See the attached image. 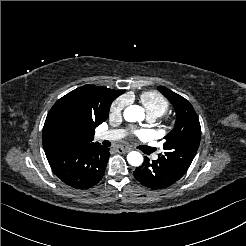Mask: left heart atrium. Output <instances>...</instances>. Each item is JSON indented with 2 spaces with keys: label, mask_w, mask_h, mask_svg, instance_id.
<instances>
[{
  "label": "left heart atrium",
  "mask_w": 246,
  "mask_h": 246,
  "mask_svg": "<svg viewBox=\"0 0 246 246\" xmlns=\"http://www.w3.org/2000/svg\"><path fill=\"white\" fill-rule=\"evenodd\" d=\"M134 134L138 137V138H145L149 136V131L146 129H140V130H136L134 132Z\"/></svg>",
  "instance_id": "left-heart-atrium-1"
}]
</instances>
